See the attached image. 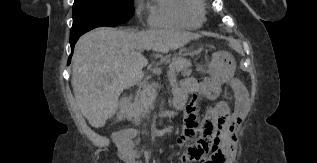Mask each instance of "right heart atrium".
<instances>
[{
  "instance_id": "obj_1",
  "label": "right heart atrium",
  "mask_w": 317,
  "mask_h": 163,
  "mask_svg": "<svg viewBox=\"0 0 317 163\" xmlns=\"http://www.w3.org/2000/svg\"><path fill=\"white\" fill-rule=\"evenodd\" d=\"M134 9L140 22H143L149 15V8L145 0H134Z\"/></svg>"
}]
</instances>
